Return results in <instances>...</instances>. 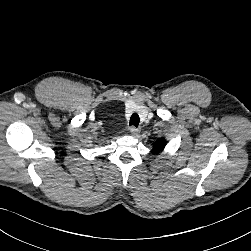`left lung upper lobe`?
Wrapping results in <instances>:
<instances>
[{
  "label": "left lung upper lobe",
  "mask_w": 251,
  "mask_h": 251,
  "mask_svg": "<svg viewBox=\"0 0 251 251\" xmlns=\"http://www.w3.org/2000/svg\"><path fill=\"white\" fill-rule=\"evenodd\" d=\"M165 145H166V141L164 139H158L153 144V150H152V152L154 154L159 153L164 148Z\"/></svg>",
  "instance_id": "left-lung-upper-lobe-1"
}]
</instances>
